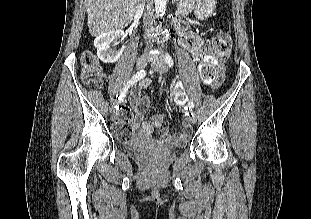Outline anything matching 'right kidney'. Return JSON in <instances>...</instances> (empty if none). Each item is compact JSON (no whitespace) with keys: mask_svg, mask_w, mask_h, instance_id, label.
<instances>
[{"mask_svg":"<svg viewBox=\"0 0 311 219\" xmlns=\"http://www.w3.org/2000/svg\"><path fill=\"white\" fill-rule=\"evenodd\" d=\"M124 35L121 30H114L103 33L96 37L94 46L97 48V56L104 63H115L124 51V47L120 50L112 49V46Z\"/></svg>","mask_w":311,"mask_h":219,"instance_id":"right-kidney-1","label":"right kidney"}]
</instances>
